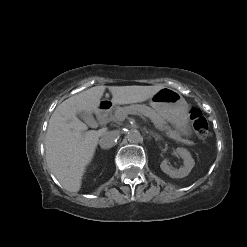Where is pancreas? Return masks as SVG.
Here are the masks:
<instances>
[{"label":"pancreas","instance_id":"obj_1","mask_svg":"<svg viewBox=\"0 0 247 247\" xmlns=\"http://www.w3.org/2000/svg\"><path fill=\"white\" fill-rule=\"evenodd\" d=\"M131 112L147 116L158 130L165 131L167 137L174 139L177 142H187L186 140L182 139L176 131L170 130L169 127L166 125L164 119L155 110L146 105L136 104L125 107H118L114 114H111L109 116V120L114 121L116 123H120Z\"/></svg>","mask_w":247,"mask_h":247}]
</instances>
